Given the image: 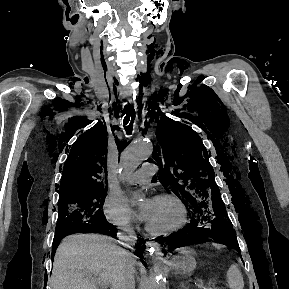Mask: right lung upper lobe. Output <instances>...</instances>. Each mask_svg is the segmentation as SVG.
<instances>
[{"mask_svg":"<svg viewBox=\"0 0 289 289\" xmlns=\"http://www.w3.org/2000/svg\"><path fill=\"white\" fill-rule=\"evenodd\" d=\"M107 136L102 123L83 133L72 147L63 168L60 197L72 193L94 191L108 186Z\"/></svg>","mask_w":289,"mask_h":289,"instance_id":"1","label":"right lung upper lobe"}]
</instances>
